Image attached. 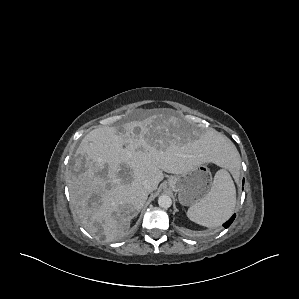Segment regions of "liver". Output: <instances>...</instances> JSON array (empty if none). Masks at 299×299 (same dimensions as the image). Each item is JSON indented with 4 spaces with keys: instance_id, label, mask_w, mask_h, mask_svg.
<instances>
[{
    "instance_id": "obj_1",
    "label": "liver",
    "mask_w": 299,
    "mask_h": 299,
    "mask_svg": "<svg viewBox=\"0 0 299 299\" xmlns=\"http://www.w3.org/2000/svg\"><path fill=\"white\" fill-rule=\"evenodd\" d=\"M235 152L221 133L210 129L199 134L164 114L128 122L121 132L99 127L82 139L68 174L74 213L90 234L117 240L148 198L143 181L154 191L163 171L187 173L206 162L227 166Z\"/></svg>"
}]
</instances>
